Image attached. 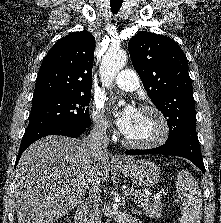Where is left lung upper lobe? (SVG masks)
<instances>
[{
    "mask_svg": "<svg viewBox=\"0 0 221 223\" xmlns=\"http://www.w3.org/2000/svg\"><path fill=\"white\" fill-rule=\"evenodd\" d=\"M128 50L148 96L167 117L166 142L197 136L188 62L178 43L163 35L139 32L128 42Z\"/></svg>",
    "mask_w": 221,
    "mask_h": 223,
    "instance_id": "left-lung-upper-lobe-1",
    "label": "left lung upper lobe"
}]
</instances>
